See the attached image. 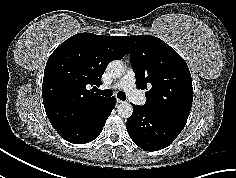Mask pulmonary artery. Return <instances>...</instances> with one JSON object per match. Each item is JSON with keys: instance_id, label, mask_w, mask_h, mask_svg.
<instances>
[{"instance_id": "1", "label": "pulmonary artery", "mask_w": 236, "mask_h": 178, "mask_svg": "<svg viewBox=\"0 0 236 178\" xmlns=\"http://www.w3.org/2000/svg\"><path fill=\"white\" fill-rule=\"evenodd\" d=\"M113 88L124 90L128 97L138 105L146 101L144 94L136 88V75L131 68L127 70L122 79L119 80Z\"/></svg>"}]
</instances>
